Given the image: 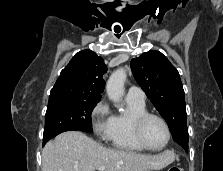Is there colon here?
I'll list each match as a JSON object with an SVG mask.
<instances>
[{
	"label": "colon",
	"instance_id": "obj_1",
	"mask_svg": "<svg viewBox=\"0 0 223 171\" xmlns=\"http://www.w3.org/2000/svg\"><path fill=\"white\" fill-rule=\"evenodd\" d=\"M168 171H181V169L178 167H172Z\"/></svg>",
	"mask_w": 223,
	"mask_h": 171
}]
</instances>
